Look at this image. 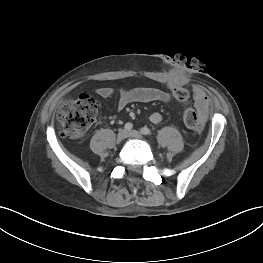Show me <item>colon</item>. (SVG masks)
Masks as SVG:
<instances>
[{"instance_id":"1","label":"colon","mask_w":263,"mask_h":263,"mask_svg":"<svg viewBox=\"0 0 263 263\" xmlns=\"http://www.w3.org/2000/svg\"><path fill=\"white\" fill-rule=\"evenodd\" d=\"M175 98L185 105L183 120L187 128L196 134L203 129V121L198 113L187 105L189 93L185 88L174 87ZM97 111L95 99L89 94H81L77 99L62 105L57 119L62 125V134L68 138H80L91 127Z\"/></svg>"}]
</instances>
